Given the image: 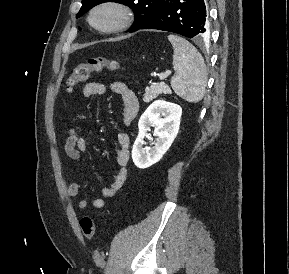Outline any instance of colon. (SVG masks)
Here are the masks:
<instances>
[{
	"mask_svg": "<svg viewBox=\"0 0 289 274\" xmlns=\"http://www.w3.org/2000/svg\"><path fill=\"white\" fill-rule=\"evenodd\" d=\"M120 68L116 61L104 58L93 57L86 62L78 64L70 73L66 81V88L72 90L77 84L86 81L92 73L101 72L104 69L116 71ZM80 226L84 236L92 240L96 233V223L93 218L85 216L80 220Z\"/></svg>",
	"mask_w": 289,
	"mask_h": 274,
	"instance_id": "5ec220e1",
	"label": "colon"
}]
</instances>
